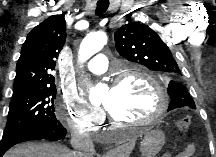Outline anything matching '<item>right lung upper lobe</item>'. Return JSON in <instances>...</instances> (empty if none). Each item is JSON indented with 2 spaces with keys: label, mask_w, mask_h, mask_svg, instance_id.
Returning <instances> with one entry per match:
<instances>
[{
  "label": "right lung upper lobe",
  "mask_w": 216,
  "mask_h": 157,
  "mask_svg": "<svg viewBox=\"0 0 216 157\" xmlns=\"http://www.w3.org/2000/svg\"><path fill=\"white\" fill-rule=\"evenodd\" d=\"M66 40V22L62 15H52L32 29L21 49L16 66L13 95L44 87H55V59Z\"/></svg>",
  "instance_id": "1"
}]
</instances>
